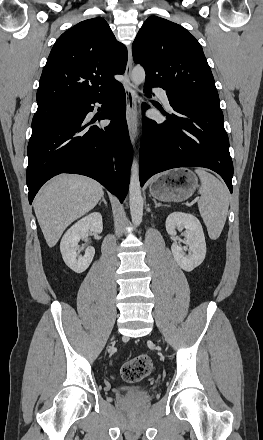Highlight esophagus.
Returning <instances> with one entry per match:
<instances>
[{
    "mask_svg": "<svg viewBox=\"0 0 263 440\" xmlns=\"http://www.w3.org/2000/svg\"><path fill=\"white\" fill-rule=\"evenodd\" d=\"M132 62H133L132 51H131V47H129L128 61L125 71V76H126L125 92H126V102H127L126 119H127L130 140L133 144L137 138V118H136L137 98L133 90V83L131 81Z\"/></svg>",
    "mask_w": 263,
    "mask_h": 440,
    "instance_id": "34e87169",
    "label": "esophagus"
}]
</instances>
